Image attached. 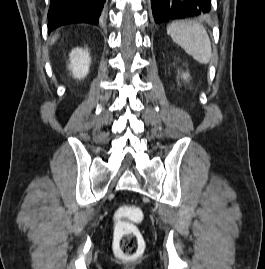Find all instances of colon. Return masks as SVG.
I'll list each match as a JSON object with an SVG mask.
<instances>
[{
	"label": "colon",
	"mask_w": 265,
	"mask_h": 269,
	"mask_svg": "<svg viewBox=\"0 0 265 269\" xmlns=\"http://www.w3.org/2000/svg\"><path fill=\"white\" fill-rule=\"evenodd\" d=\"M118 213L121 220L118 222L114 241L118 253L127 258L138 256L142 246L141 234L135 222L142 220L141 210L136 206L120 207Z\"/></svg>",
	"instance_id": "1"
}]
</instances>
